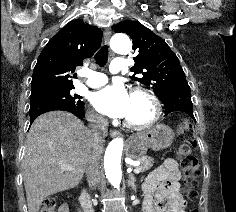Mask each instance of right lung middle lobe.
<instances>
[{"mask_svg":"<svg viewBox=\"0 0 236 212\" xmlns=\"http://www.w3.org/2000/svg\"><path fill=\"white\" fill-rule=\"evenodd\" d=\"M72 89H74V86L52 87L35 91L31 93V102L45 101L62 105L83 107L84 103L80 100L82 97L76 94L73 95L71 93Z\"/></svg>","mask_w":236,"mask_h":212,"instance_id":"1","label":"right lung middle lobe"}]
</instances>
